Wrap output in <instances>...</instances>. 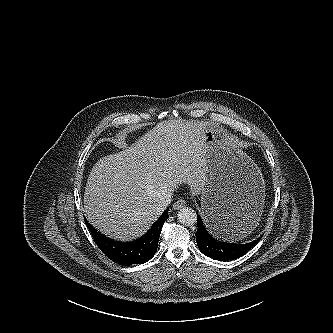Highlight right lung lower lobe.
I'll return each mask as SVG.
<instances>
[{"label":"right lung lower lobe","mask_w":333,"mask_h":333,"mask_svg":"<svg viewBox=\"0 0 333 333\" xmlns=\"http://www.w3.org/2000/svg\"><path fill=\"white\" fill-rule=\"evenodd\" d=\"M167 218L168 209L164 211L146 234L128 243L108 239L92 228L86 219L85 222L95 243L110 260L123 266H130L145 263L154 256L162 226Z\"/></svg>","instance_id":"right-lung-lower-lobe-1"}]
</instances>
